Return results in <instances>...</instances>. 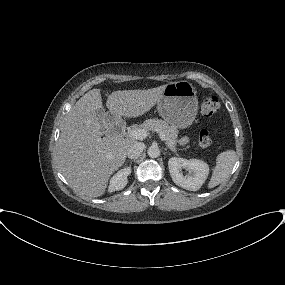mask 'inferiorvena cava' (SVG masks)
Returning a JSON list of instances; mask_svg holds the SVG:
<instances>
[{"label":"inferior vena cava","mask_w":285,"mask_h":285,"mask_svg":"<svg viewBox=\"0 0 285 285\" xmlns=\"http://www.w3.org/2000/svg\"><path fill=\"white\" fill-rule=\"evenodd\" d=\"M145 145L141 142H135L132 144L127 152V156L130 159H137L140 154L143 152Z\"/></svg>","instance_id":"inferior-vena-cava-1"}]
</instances>
